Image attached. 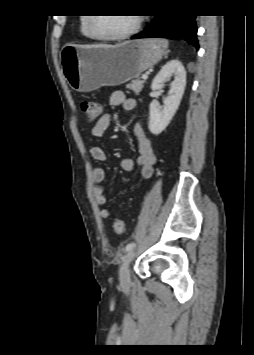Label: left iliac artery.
<instances>
[{"instance_id": "left-iliac-artery-1", "label": "left iliac artery", "mask_w": 254, "mask_h": 355, "mask_svg": "<svg viewBox=\"0 0 254 355\" xmlns=\"http://www.w3.org/2000/svg\"><path fill=\"white\" fill-rule=\"evenodd\" d=\"M134 248V243H129V244H127V246H126V251H130V250H132Z\"/></svg>"}]
</instances>
